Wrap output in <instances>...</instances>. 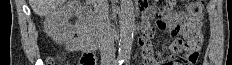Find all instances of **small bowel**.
Listing matches in <instances>:
<instances>
[{"mask_svg":"<svg viewBox=\"0 0 232 65\" xmlns=\"http://www.w3.org/2000/svg\"><path fill=\"white\" fill-rule=\"evenodd\" d=\"M142 10L144 12L143 19V28L145 30V35L139 39L140 46L143 47V64L144 65H178L174 62L163 61L160 63H156V61L152 57V50L150 48L149 39L153 34V29L150 26V20L153 16V11L149 9L147 6L143 5ZM157 27L161 30H168L170 33L174 35L184 34L186 31V17L183 13H172L166 19H160L157 21ZM78 36L72 39L68 45L67 50L70 52L74 51H89L87 41L80 35L78 32Z\"/></svg>","mask_w":232,"mask_h":65,"instance_id":"obj_1","label":"small bowel"}]
</instances>
